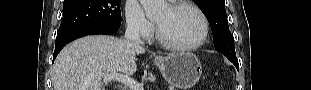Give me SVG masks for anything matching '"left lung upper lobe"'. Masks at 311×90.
<instances>
[{"instance_id": "5c2ea615", "label": "left lung upper lobe", "mask_w": 311, "mask_h": 90, "mask_svg": "<svg viewBox=\"0 0 311 90\" xmlns=\"http://www.w3.org/2000/svg\"><path fill=\"white\" fill-rule=\"evenodd\" d=\"M195 3L207 17L215 49L228 58H236L234 40L228 27L224 0H195Z\"/></svg>"}]
</instances>
